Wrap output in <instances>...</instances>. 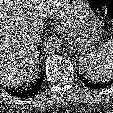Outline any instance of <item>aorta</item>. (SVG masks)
I'll list each match as a JSON object with an SVG mask.
<instances>
[{"label": "aorta", "mask_w": 113, "mask_h": 113, "mask_svg": "<svg viewBox=\"0 0 113 113\" xmlns=\"http://www.w3.org/2000/svg\"><path fill=\"white\" fill-rule=\"evenodd\" d=\"M44 49L47 53L54 54L61 48V40L58 37H48L44 42Z\"/></svg>", "instance_id": "obj_1"}]
</instances>
